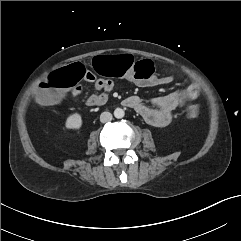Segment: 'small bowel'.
<instances>
[{"mask_svg":"<svg viewBox=\"0 0 241 241\" xmlns=\"http://www.w3.org/2000/svg\"><path fill=\"white\" fill-rule=\"evenodd\" d=\"M81 79L94 84V91L85 100V105L88 107L105 105L108 101L109 93L114 89V81L108 78H97L95 73L90 70H86V74ZM170 81V76L150 77L139 81L138 84L142 87H153L165 85ZM81 93L82 87L80 85H75L71 90V94L74 97L81 95ZM199 93V86L196 83H192L184 89L164 96L154 97L148 102H145L137 95H131L124 99L123 104L133 109L148 124L155 127H164L172 121L174 110L183 107L188 101L195 100L199 96Z\"/></svg>","mask_w":241,"mask_h":241,"instance_id":"c3829d8e","label":"small bowel"}]
</instances>
